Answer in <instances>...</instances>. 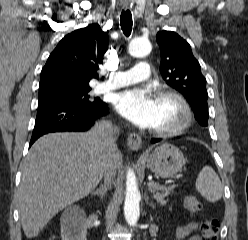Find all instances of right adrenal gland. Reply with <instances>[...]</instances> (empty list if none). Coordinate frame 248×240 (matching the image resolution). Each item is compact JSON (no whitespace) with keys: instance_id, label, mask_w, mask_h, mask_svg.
Returning <instances> with one entry per match:
<instances>
[{"instance_id":"obj_1","label":"right adrenal gland","mask_w":248,"mask_h":240,"mask_svg":"<svg viewBox=\"0 0 248 240\" xmlns=\"http://www.w3.org/2000/svg\"><path fill=\"white\" fill-rule=\"evenodd\" d=\"M106 191H107L106 186L101 185L100 188H98L96 191H93L92 194H93V195H97V196H99L101 199H103V197H104Z\"/></svg>"}]
</instances>
